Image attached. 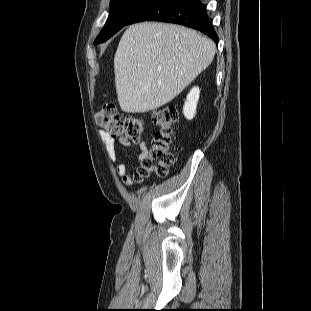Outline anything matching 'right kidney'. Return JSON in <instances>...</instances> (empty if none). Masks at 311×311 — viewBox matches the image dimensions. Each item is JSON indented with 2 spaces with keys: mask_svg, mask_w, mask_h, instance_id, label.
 I'll use <instances>...</instances> for the list:
<instances>
[{
  "mask_svg": "<svg viewBox=\"0 0 311 311\" xmlns=\"http://www.w3.org/2000/svg\"><path fill=\"white\" fill-rule=\"evenodd\" d=\"M200 90L198 87H194L187 95V100L183 107L184 116L191 120L196 114L197 102L199 100Z\"/></svg>",
  "mask_w": 311,
  "mask_h": 311,
  "instance_id": "1",
  "label": "right kidney"
}]
</instances>
